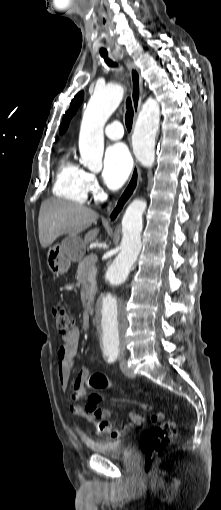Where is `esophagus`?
Wrapping results in <instances>:
<instances>
[{
  "label": "esophagus",
  "instance_id": "1",
  "mask_svg": "<svg viewBox=\"0 0 221 510\" xmlns=\"http://www.w3.org/2000/svg\"><path fill=\"white\" fill-rule=\"evenodd\" d=\"M123 58V56H120ZM125 65L128 69L130 80H131V98L132 105L134 110V121L133 127L135 126V122L137 120L141 104H142V94H143V82L140 76V72L138 68L131 62L129 59L125 60ZM141 180V171L138 167L137 163L134 164L133 169L131 171L128 183L126 187L121 192L120 196L114 203L112 209L109 211L107 215V221L110 223H115L119 219L122 214L125 206L131 200L133 195L135 194L139 182Z\"/></svg>",
  "mask_w": 221,
  "mask_h": 510
}]
</instances>
